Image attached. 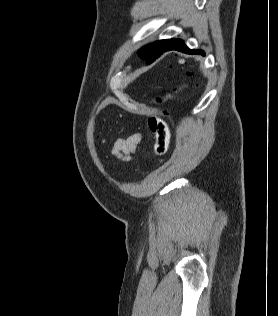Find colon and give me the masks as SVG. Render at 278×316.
I'll use <instances>...</instances> for the list:
<instances>
[{"instance_id":"5ec220e1","label":"colon","mask_w":278,"mask_h":316,"mask_svg":"<svg viewBox=\"0 0 278 316\" xmlns=\"http://www.w3.org/2000/svg\"><path fill=\"white\" fill-rule=\"evenodd\" d=\"M164 97H158L157 102H162ZM148 126L150 131L154 134L155 144H154V156L160 158L165 155L168 149L170 132L167 124L164 120L156 116L148 117Z\"/></svg>"}]
</instances>
